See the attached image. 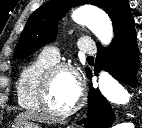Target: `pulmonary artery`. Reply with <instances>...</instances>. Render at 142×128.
Segmentation results:
<instances>
[{
	"instance_id": "e3ab8cb5",
	"label": "pulmonary artery",
	"mask_w": 142,
	"mask_h": 128,
	"mask_svg": "<svg viewBox=\"0 0 142 128\" xmlns=\"http://www.w3.org/2000/svg\"><path fill=\"white\" fill-rule=\"evenodd\" d=\"M78 48L81 52L88 54V55H93L96 53V46H95L94 42L88 37H82L79 39ZM41 54L44 57H46L49 60H52L54 62H57L60 57L59 50L55 46L45 47L42 50Z\"/></svg>"
}]
</instances>
